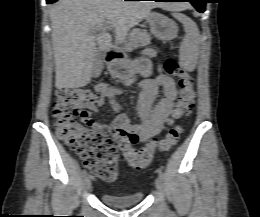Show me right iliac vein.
I'll use <instances>...</instances> for the list:
<instances>
[{
    "mask_svg": "<svg viewBox=\"0 0 260 217\" xmlns=\"http://www.w3.org/2000/svg\"><path fill=\"white\" fill-rule=\"evenodd\" d=\"M91 178H90V176H86L85 178H84V189H85V191H88V190H90V188H91Z\"/></svg>",
    "mask_w": 260,
    "mask_h": 217,
    "instance_id": "1",
    "label": "right iliac vein"
}]
</instances>
